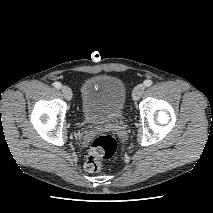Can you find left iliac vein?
I'll return each mask as SVG.
<instances>
[{
	"label": "left iliac vein",
	"mask_w": 213,
	"mask_h": 213,
	"mask_svg": "<svg viewBox=\"0 0 213 213\" xmlns=\"http://www.w3.org/2000/svg\"><path fill=\"white\" fill-rule=\"evenodd\" d=\"M145 90V85L144 84H139L137 85L134 89H133V93H132V96H133V99L135 101L139 100L143 94Z\"/></svg>",
	"instance_id": "4c4485c4"
}]
</instances>
